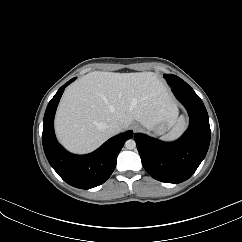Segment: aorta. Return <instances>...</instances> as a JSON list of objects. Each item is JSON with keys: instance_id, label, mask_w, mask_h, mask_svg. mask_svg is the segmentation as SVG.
<instances>
[{"instance_id": "762f6f07", "label": "aorta", "mask_w": 242, "mask_h": 242, "mask_svg": "<svg viewBox=\"0 0 242 242\" xmlns=\"http://www.w3.org/2000/svg\"><path fill=\"white\" fill-rule=\"evenodd\" d=\"M125 147L129 150H132L136 147V142L133 139H129L125 142Z\"/></svg>"}]
</instances>
